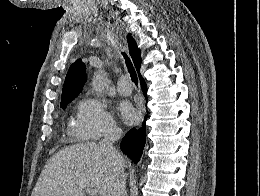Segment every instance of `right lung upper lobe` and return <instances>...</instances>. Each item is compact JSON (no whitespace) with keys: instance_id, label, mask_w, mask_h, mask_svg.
I'll return each instance as SVG.
<instances>
[{"instance_id":"cb5924a9","label":"right lung upper lobe","mask_w":260,"mask_h":196,"mask_svg":"<svg viewBox=\"0 0 260 196\" xmlns=\"http://www.w3.org/2000/svg\"><path fill=\"white\" fill-rule=\"evenodd\" d=\"M129 41V53L135 65V68L140 76V67H141V51L138 49L136 42L129 34L128 36ZM86 66L85 64L79 59L74 62L67 73L63 90H62V100H61V107L67 106L69 102H71L81 91L86 82Z\"/></svg>"}]
</instances>
